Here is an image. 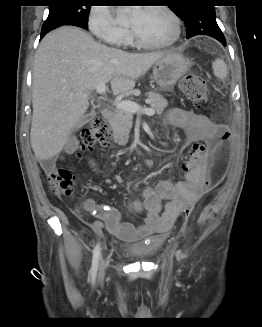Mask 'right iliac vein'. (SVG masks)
I'll return each mask as SVG.
<instances>
[{"label": "right iliac vein", "mask_w": 262, "mask_h": 327, "mask_svg": "<svg viewBox=\"0 0 262 327\" xmlns=\"http://www.w3.org/2000/svg\"><path fill=\"white\" fill-rule=\"evenodd\" d=\"M105 267H106V263L104 259L100 260V265H99V279L103 280L104 278V274H105Z\"/></svg>", "instance_id": "1"}]
</instances>
